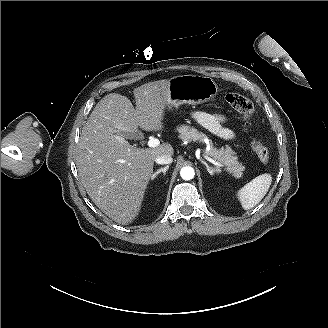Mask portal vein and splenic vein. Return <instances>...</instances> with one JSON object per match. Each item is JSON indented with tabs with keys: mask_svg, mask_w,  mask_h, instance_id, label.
<instances>
[{
	"mask_svg": "<svg viewBox=\"0 0 328 328\" xmlns=\"http://www.w3.org/2000/svg\"><path fill=\"white\" fill-rule=\"evenodd\" d=\"M158 145H159V141L156 138H149L148 141H147V146L150 147V148H154ZM202 156L205 157L210 162H212L214 165L219 166V167H223V165L220 162H217V161L213 160L208 155H206V153H202Z\"/></svg>",
	"mask_w": 328,
	"mask_h": 328,
	"instance_id": "1",
	"label": "portal vein and splenic vein"
}]
</instances>
